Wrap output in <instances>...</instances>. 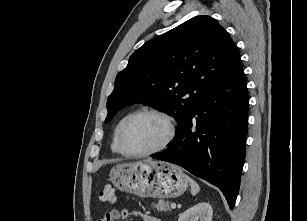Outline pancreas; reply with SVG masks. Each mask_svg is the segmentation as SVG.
<instances>
[{
    "mask_svg": "<svg viewBox=\"0 0 307 221\" xmlns=\"http://www.w3.org/2000/svg\"><path fill=\"white\" fill-rule=\"evenodd\" d=\"M153 207L158 211H168L169 210V202H165L164 200H160L157 204H153Z\"/></svg>",
    "mask_w": 307,
    "mask_h": 221,
    "instance_id": "1",
    "label": "pancreas"
}]
</instances>
